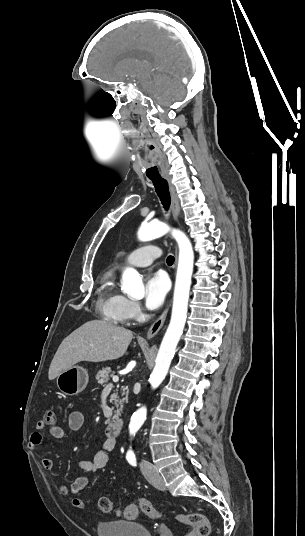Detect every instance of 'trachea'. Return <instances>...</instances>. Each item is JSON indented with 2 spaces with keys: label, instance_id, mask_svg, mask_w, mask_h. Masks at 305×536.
<instances>
[{
  "label": "trachea",
  "instance_id": "obj_1",
  "mask_svg": "<svg viewBox=\"0 0 305 536\" xmlns=\"http://www.w3.org/2000/svg\"><path fill=\"white\" fill-rule=\"evenodd\" d=\"M155 187L156 193L158 197L160 198V201L163 205V208L166 212H168L171 204V198H170V192L168 188V182L165 180V178L162 177H153L149 178ZM175 261L174 256L169 255L167 257L166 263L171 266Z\"/></svg>",
  "mask_w": 305,
  "mask_h": 536
}]
</instances>
